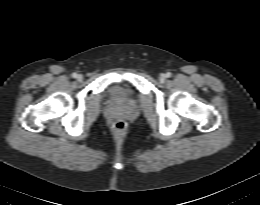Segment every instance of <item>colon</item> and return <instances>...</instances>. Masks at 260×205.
<instances>
[{
    "label": "colon",
    "instance_id": "1",
    "mask_svg": "<svg viewBox=\"0 0 260 205\" xmlns=\"http://www.w3.org/2000/svg\"><path fill=\"white\" fill-rule=\"evenodd\" d=\"M114 129L118 133H122L126 129V124L123 121H118L114 124Z\"/></svg>",
    "mask_w": 260,
    "mask_h": 205
}]
</instances>
